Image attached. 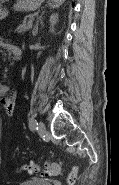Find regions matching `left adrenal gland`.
Listing matches in <instances>:
<instances>
[{"mask_svg":"<svg viewBox=\"0 0 119 185\" xmlns=\"http://www.w3.org/2000/svg\"><path fill=\"white\" fill-rule=\"evenodd\" d=\"M42 15H43V12H42L41 15L37 18L36 25H35V27H34V29H33V32H32L33 36H36L37 33H38V25H39V21H40L41 18H42Z\"/></svg>","mask_w":119,"mask_h":185,"instance_id":"a2214340","label":"left adrenal gland"}]
</instances>
